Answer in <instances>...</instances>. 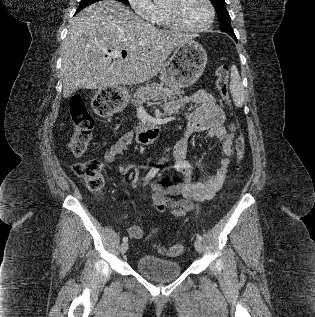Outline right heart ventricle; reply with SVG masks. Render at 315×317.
<instances>
[{
  "mask_svg": "<svg viewBox=\"0 0 315 317\" xmlns=\"http://www.w3.org/2000/svg\"><path fill=\"white\" fill-rule=\"evenodd\" d=\"M152 22L161 27L170 26L169 22L167 21L164 9L161 7H158L156 16Z\"/></svg>",
  "mask_w": 315,
  "mask_h": 317,
  "instance_id": "1",
  "label": "right heart ventricle"
}]
</instances>
